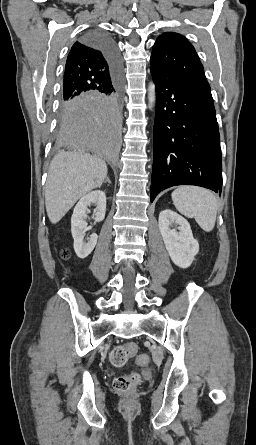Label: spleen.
I'll use <instances>...</instances> for the list:
<instances>
[{
    "instance_id": "3e777b00",
    "label": "spleen",
    "mask_w": 256,
    "mask_h": 445,
    "mask_svg": "<svg viewBox=\"0 0 256 445\" xmlns=\"http://www.w3.org/2000/svg\"><path fill=\"white\" fill-rule=\"evenodd\" d=\"M176 209L194 218L206 232L213 230L217 215V199L209 190L195 186H180L171 194Z\"/></svg>"
}]
</instances>
